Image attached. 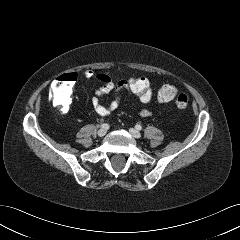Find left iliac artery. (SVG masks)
<instances>
[{
    "instance_id": "1",
    "label": "left iliac artery",
    "mask_w": 240,
    "mask_h": 240,
    "mask_svg": "<svg viewBox=\"0 0 240 240\" xmlns=\"http://www.w3.org/2000/svg\"><path fill=\"white\" fill-rule=\"evenodd\" d=\"M135 128H136L137 130H141V129H142L141 125H139V124H137V125L135 126Z\"/></svg>"
}]
</instances>
